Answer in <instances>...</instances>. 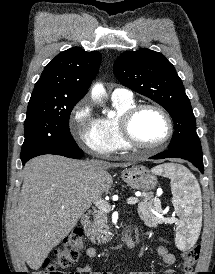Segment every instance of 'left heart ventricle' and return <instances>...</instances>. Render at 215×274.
<instances>
[{
	"label": "left heart ventricle",
	"mask_w": 215,
	"mask_h": 274,
	"mask_svg": "<svg viewBox=\"0 0 215 274\" xmlns=\"http://www.w3.org/2000/svg\"><path fill=\"white\" fill-rule=\"evenodd\" d=\"M134 137L143 144H154L164 138L167 124L160 113L145 109L137 114L132 123Z\"/></svg>",
	"instance_id": "left-heart-ventricle-1"
}]
</instances>
